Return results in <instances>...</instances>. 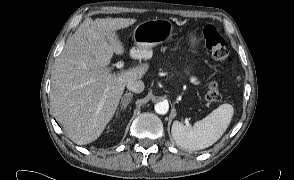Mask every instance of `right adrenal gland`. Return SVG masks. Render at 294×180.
<instances>
[{
    "label": "right adrenal gland",
    "mask_w": 294,
    "mask_h": 180,
    "mask_svg": "<svg viewBox=\"0 0 294 180\" xmlns=\"http://www.w3.org/2000/svg\"><path fill=\"white\" fill-rule=\"evenodd\" d=\"M132 98H133V94L130 92L129 93L126 92L121 99V103H120L121 109H125L131 102Z\"/></svg>",
    "instance_id": "1"
}]
</instances>
